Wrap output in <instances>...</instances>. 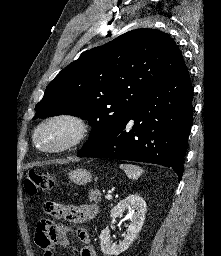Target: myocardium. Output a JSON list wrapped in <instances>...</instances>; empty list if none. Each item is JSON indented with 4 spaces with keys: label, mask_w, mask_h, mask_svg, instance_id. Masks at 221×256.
<instances>
[{
    "label": "myocardium",
    "mask_w": 221,
    "mask_h": 256,
    "mask_svg": "<svg viewBox=\"0 0 221 256\" xmlns=\"http://www.w3.org/2000/svg\"><path fill=\"white\" fill-rule=\"evenodd\" d=\"M56 123H64L72 129L68 140L56 146H44L39 143L38 135L45 127ZM90 134V124L83 116L73 112H59L42 120L34 130L33 142L42 151L60 153L70 150L84 142Z\"/></svg>",
    "instance_id": "myocardium-1"
}]
</instances>
